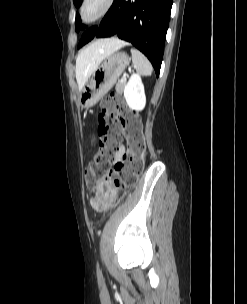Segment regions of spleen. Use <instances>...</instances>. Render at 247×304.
I'll use <instances>...</instances> for the list:
<instances>
[{
    "label": "spleen",
    "instance_id": "obj_1",
    "mask_svg": "<svg viewBox=\"0 0 247 304\" xmlns=\"http://www.w3.org/2000/svg\"><path fill=\"white\" fill-rule=\"evenodd\" d=\"M132 62L136 71L143 76H150L153 68L149 60L139 50L132 48Z\"/></svg>",
    "mask_w": 247,
    "mask_h": 304
}]
</instances>
